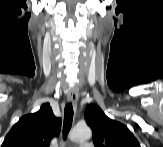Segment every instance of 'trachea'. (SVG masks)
<instances>
[{
	"label": "trachea",
	"instance_id": "trachea-1",
	"mask_svg": "<svg viewBox=\"0 0 163 147\" xmlns=\"http://www.w3.org/2000/svg\"><path fill=\"white\" fill-rule=\"evenodd\" d=\"M72 120H73V107H72V103L70 102L66 104L65 109H64V122H63V139L64 140L67 138V135L72 125Z\"/></svg>",
	"mask_w": 163,
	"mask_h": 147
}]
</instances>
